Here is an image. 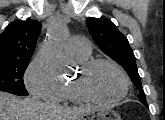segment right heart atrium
Listing matches in <instances>:
<instances>
[{"label": "right heart atrium", "instance_id": "right-heart-atrium-1", "mask_svg": "<svg viewBox=\"0 0 165 120\" xmlns=\"http://www.w3.org/2000/svg\"><path fill=\"white\" fill-rule=\"evenodd\" d=\"M25 85L33 96L57 102L61 98L62 85L51 75L40 56H36L25 73Z\"/></svg>", "mask_w": 165, "mask_h": 120}]
</instances>
